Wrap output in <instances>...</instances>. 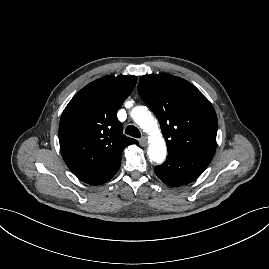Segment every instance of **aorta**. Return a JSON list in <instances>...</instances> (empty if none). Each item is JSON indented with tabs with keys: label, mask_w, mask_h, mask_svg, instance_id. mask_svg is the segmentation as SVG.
I'll return each mask as SVG.
<instances>
[{
	"label": "aorta",
	"mask_w": 269,
	"mask_h": 269,
	"mask_svg": "<svg viewBox=\"0 0 269 269\" xmlns=\"http://www.w3.org/2000/svg\"><path fill=\"white\" fill-rule=\"evenodd\" d=\"M131 117L137 125L150 134L148 157L151 162L162 164L167 155L166 142L160 132L157 121L144 106H136L131 111Z\"/></svg>",
	"instance_id": "1"
}]
</instances>
